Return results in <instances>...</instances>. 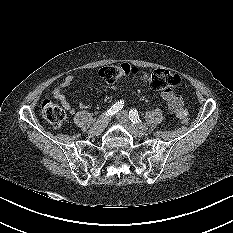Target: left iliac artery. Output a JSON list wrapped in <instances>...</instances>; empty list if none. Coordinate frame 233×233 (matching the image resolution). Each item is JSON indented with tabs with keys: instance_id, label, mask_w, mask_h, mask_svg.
I'll use <instances>...</instances> for the list:
<instances>
[{
	"instance_id": "obj_1",
	"label": "left iliac artery",
	"mask_w": 233,
	"mask_h": 233,
	"mask_svg": "<svg viewBox=\"0 0 233 233\" xmlns=\"http://www.w3.org/2000/svg\"><path fill=\"white\" fill-rule=\"evenodd\" d=\"M129 118L133 123L138 124L140 126V128L147 129V128H145V126H143L136 109H131L129 111Z\"/></svg>"
}]
</instances>
